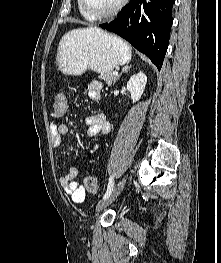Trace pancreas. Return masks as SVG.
<instances>
[{
    "instance_id": "1",
    "label": "pancreas",
    "mask_w": 221,
    "mask_h": 263,
    "mask_svg": "<svg viewBox=\"0 0 221 263\" xmlns=\"http://www.w3.org/2000/svg\"><path fill=\"white\" fill-rule=\"evenodd\" d=\"M98 78L104 80L108 84V86H111L112 83L116 80V76L113 75L112 71L105 74H101L98 76Z\"/></svg>"
}]
</instances>
